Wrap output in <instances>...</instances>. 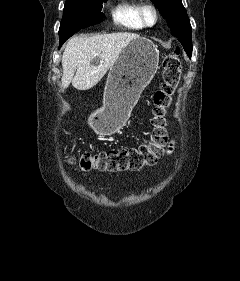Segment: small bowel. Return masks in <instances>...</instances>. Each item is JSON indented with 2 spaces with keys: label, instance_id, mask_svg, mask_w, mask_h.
<instances>
[{
  "label": "small bowel",
  "instance_id": "small-bowel-1",
  "mask_svg": "<svg viewBox=\"0 0 240 281\" xmlns=\"http://www.w3.org/2000/svg\"><path fill=\"white\" fill-rule=\"evenodd\" d=\"M173 149H174V144L171 142L167 147V152L171 154L173 152Z\"/></svg>",
  "mask_w": 240,
  "mask_h": 281
}]
</instances>
